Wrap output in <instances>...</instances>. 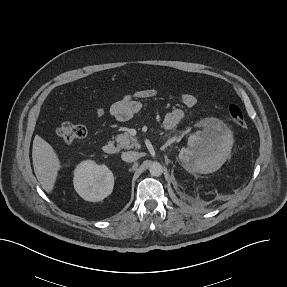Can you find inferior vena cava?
<instances>
[{"label":"inferior vena cava","mask_w":287,"mask_h":287,"mask_svg":"<svg viewBox=\"0 0 287 287\" xmlns=\"http://www.w3.org/2000/svg\"><path fill=\"white\" fill-rule=\"evenodd\" d=\"M121 157L126 162H134L139 159V153L135 151L123 152Z\"/></svg>","instance_id":"obj_1"}]
</instances>
